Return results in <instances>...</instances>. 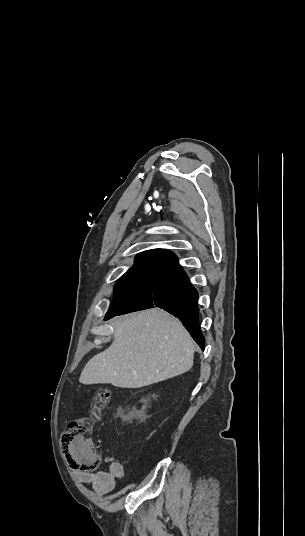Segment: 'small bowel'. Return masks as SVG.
Instances as JSON below:
<instances>
[{
	"label": "small bowel",
	"mask_w": 305,
	"mask_h": 536,
	"mask_svg": "<svg viewBox=\"0 0 305 536\" xmlns=\"http://www.w3.org/2000/svg\"><path fill=\"white\" fill-rule=\"evenodd\" d=\"M76 477L83 483L91 484L98 495H105L114 490L117 479L124 477V467L120 462L112 461L107 471L85 473L77 470Z\"/></svg>",
	"instance_id": "small-bowel-1"
}]
</instances>
